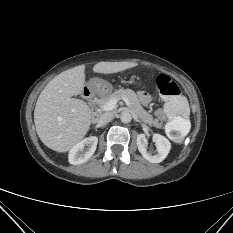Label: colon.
Instances as JSON below:
<instances>
[{"instance_id":"obj_1","label":"colon","mask_w":233,"mask_h":233,"mask_svg":"<svg viewBox=\"0 0 233 233\" xmlns=\"http://www.w3.org/2000/svg\"><path fill=\"white\" fill-rule=\"evenodd\" d=\"M156 88L165 100V112L168 117L166 131L175 142H181L189 129V108L177 84L167 75H159Z\"/></svg>"}]
</instances>
